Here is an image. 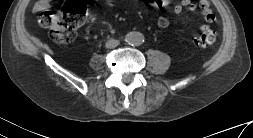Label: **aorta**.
Listing matches in <instances>:
<instances>
[{
    "instance_id": "762f6f07",
    "label": "aorta",
    "mask_w": 253,
    "mask_h": 138,
    "mask_svg": "<svg viewBox=\"0 0 253 138\" xmlns=\"http://www.w3.org/2000/svg\"><path fill=\"white\" fill-rule=\"evenodd\" d=\"M125 41L133 46H139L144 42V35L140 32H130L126 35Z\"/></svg>"
}]
</instances>
